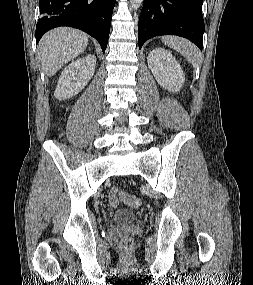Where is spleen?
<instances>
[{
    "label": "spleen",
    "mask_w": 253,
    "mask_h": 285,
    "mask_svg": "<svg viewBox=\"0 0 253 285\" xmlns=\"http://www.w3.org/2000/svg\"><path fill=\"white\" fill-rule=\"evenodd\" d=\"M162 42L177 52L181 53L194 67H197L201 64V54L198 48L190 41L181 37L165 36L162 37Z\"/></svg>",
    "instance_id": "3e777b00"
}]
</instances>
